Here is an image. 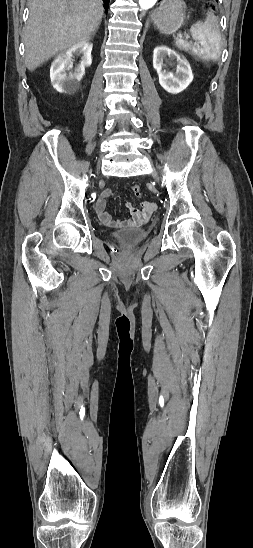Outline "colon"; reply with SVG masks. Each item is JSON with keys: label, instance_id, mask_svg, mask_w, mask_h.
<instances>
[{"label": "colon", "instance_id": "colon-1", "mask_svg": "<svg viewBox=\"0 0 253 548\" xmlns=\"http://www.w3.org/2000/svg\"><path fill=\"white\" fill-rule=\"evenodd\" d=\"M212 8V5L210 3L205 4V10H210ZM132 191L136 197H140L142 195V191L139 185H134L132 187Z\"/></svg>", "mask_w": 253, "mask_h": 548}]
</instances>
